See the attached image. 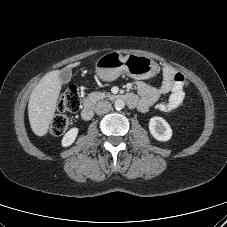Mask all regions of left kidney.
<instances>
[{"label": "left kidney", "mask_w": 227, "mask_h": 227, "mask_svg": "<svg viewBox=\"0 0 227 227\" xmlns=\"http://www.w3.org/2000/svg\"><path fill=\"white\" fill-rule=\"evenodd\" d=\"M151 135L158 141L165 142L171 139L172 129L162 117H152L149 121Z\"/></svg>", "instance_id": "obj_1"}]
</instances>
